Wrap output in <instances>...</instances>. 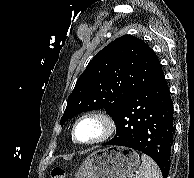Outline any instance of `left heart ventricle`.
<instances>
[{"label":"left heart ventricle","instance_id":"1","mask_svg":"<svg viewBox=\"0 0 194 178\" xmlns=\"http://www.w3.org/2000/svg\"><path fill=\"white\" fill-rule=\"evenodd\" d=\"M102 132L101 123L93 118L85 119L78 124L76 136L82 142H89L96 139Z\"/></svg>","mask_w":194,"mask_h":178}]
</instances>
